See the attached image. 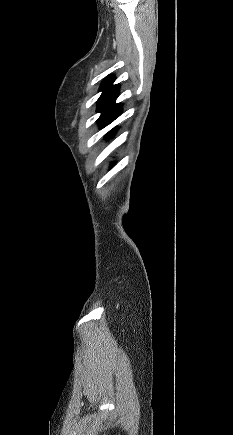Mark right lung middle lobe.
<instances>
[{
	"label": "right lung middle lobe",
	"instance_id": "right-lung-middle-lobe-1",
	"mask_svg": "<svg viewBox=\"0 0 233 435\" xmlns=\"http://www.w3.org/2000/svg\"><path fill=\"white\" fill-rule=\"evenodd\" d=\"M117 117L116 116H100V118L97 120V122L100 124V128H103L110 124L112 121H114ZM111 130L108 135L112 132Z\"/></svg>",
	"mask_w": 233,
	"mask_h": 435
}]
</instances>
